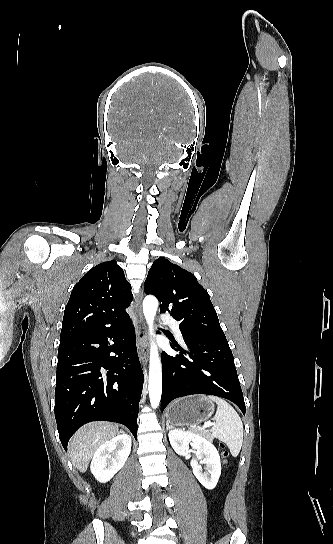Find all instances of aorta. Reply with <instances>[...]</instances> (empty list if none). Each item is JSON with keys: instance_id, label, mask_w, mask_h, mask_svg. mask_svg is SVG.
<instances>
[{"instance_id": "1", "label": "aorta", "mask_w": 333, "mask_h": 544, "mask_svg": "<svg viewBox=\"0 0 333 544\" xmlns=\"http://www.w3.org/2000/svg\"><path fill=\"white\" fill-rule=\"evenodd\" d=\"M158 300L156 297L148 295L143 300V313L149 326L150 335H154V318L158 309ZM150 404L153 409L159 406L162 392V367L155 343L150 346L149 363V384H148Z\"/></svg>"}]
</instances>
